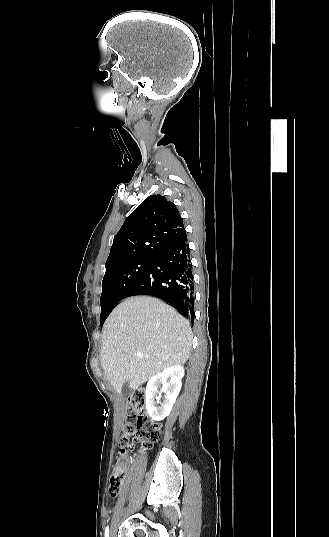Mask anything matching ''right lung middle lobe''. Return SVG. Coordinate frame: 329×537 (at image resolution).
I'll use <instances>...</instances> for the list:
<instances>
[{
	"label": "right lung middle lobe",
	"instance_id": "1",
	"mask_svg": "<svg viewBox=\"0 0 329 537\" xmlns=\"http://www.w3.org/2000/svg\"><path fill=\"white\" fill-rule=\"evenodd\" d=\"M151 261L152 259H138L106 270L102 281V294L100 298L102 309L100 325L104 324L111 309L124 298L126 292L144 273Z\"/></svg>",
	"mask_w": 329,
	"mask_h": 537
}]
</instances>
